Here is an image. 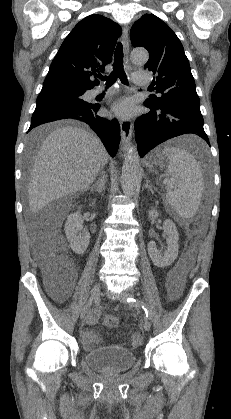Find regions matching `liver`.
Listing matches in <instances>:
<instances>
[{"label":"liver","mask_w":231,"mask_h":419,"mask_svg":"<svg viewBox=\"0 0 231 419\" xmlns=\"http://www.w3.org/2000/svg\"><path fill=\"white\" fill-rule=\"evenodd\" d=\"M52 130L36 155L28 186V202L37 213L50 202L86 190L107 164L109 154L100 139L75 126L45 125L30 138Z\"/></svg>","instance_id":"obj_1"}]
</instances>
